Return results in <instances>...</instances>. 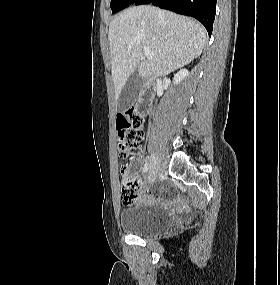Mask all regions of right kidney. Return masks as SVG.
Returning a JSON list of instances; mask_svg holds the SVG:
<instances>
[{
    "mask_svg": "<svg viewBox=\"0 0 280 285\" xmlns=\"http://www.w3.org/2000/svg\"><path fill=\"white\" fill-rule=\"evenodd\" d=\"M189 76V72L186 69L180 70L173 78L174 85H178L182 80Z\"/></svg>",
    "mask_w": 280,
    "mask_h": 285,
    "instance_id": "ca27d5eb",
    "label": "right kidney"
}]
</instances>
